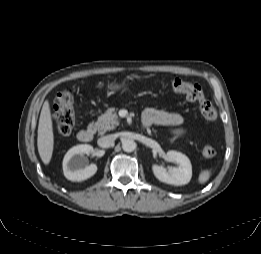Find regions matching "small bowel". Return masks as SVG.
I'll use <instances>...</instances> for the list:
<instances>
[{
  "label": "small bowel",
  "instance_id": "obj_1",
  "mask_svg": "<svg viewBox=\"0 0 261 254\" xmlns=\"http://www.w3.org/2000/svg\"><path fill=\"white\" fill-rule=\"evenodd\" d=\"M184 118L177 113L148 108L142 114V123L145 127L161 125L170 128L172 134L182 136L184 129L181 127Z\"/></svg>",
  "mask_w": 261,
  "mask_h": 254
}]
</instances>
